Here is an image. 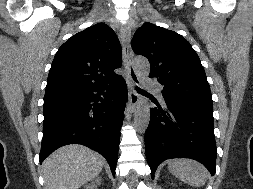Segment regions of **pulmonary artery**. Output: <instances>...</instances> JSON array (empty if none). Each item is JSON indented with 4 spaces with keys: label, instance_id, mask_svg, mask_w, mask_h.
Segmentation results:
<instances>
[{
    "label": "pulmonary artery",
    "instance_id": "obj_1",
    "mask_svg": "<svg viewBox=\"0 0 253 189\" xmlns=\"http://www.w3.org/2000/svg\"><path fill=\"white\" fill-rule=\"evenodd\" d=\"M143 84H144V86H146L148 88H156L155 82L148 77L143 78Z\"/></svg>",
    "mask_w": 253,
    "mask_h": 189
}]
</instances>
